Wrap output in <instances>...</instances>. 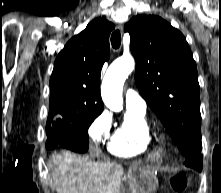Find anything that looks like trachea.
<instances>
[{
    "label": "trachea",
    "instance_id": "3493384b",
    "mask_svg": "<svg viewBox=\"0 0 221 193\" xmlns=\"http://www.w3.org/2000/svg\"><path fill=\"white\" fill-rule=\"evenodd\" d=\"M111 44L114 49H118L121 44V35L118 30L114 31L111 35Z\"/></svg>",
    "mask_w": 221,
    "mask_h": 193
}]
</instances>
